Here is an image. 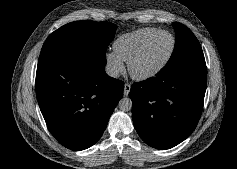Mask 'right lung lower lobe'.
<instances>
[{
    "label": "right lung lower lobe",
    "instance_id": "1",
    "mask_svg": "<svg viewBox=\"0 0 237 169\" xmlns=\"http://www.w3.org/2000/svg\"><path fill=\"white\" fill-rule=\"evenodd\" d=\"M105 64V54L96 51L40 53L37 100L48 129L66 148L95 144L123 96L124 83L109 77Z\"/></svg>",
    "mask_w": 237,
    "mask_h": 169
}]
</instances>
